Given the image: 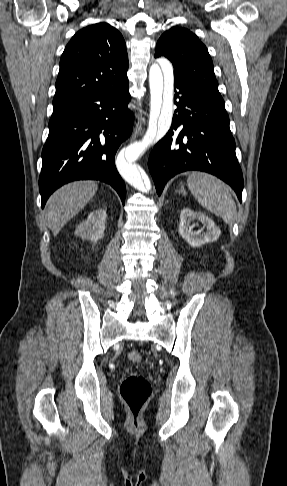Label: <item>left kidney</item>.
Returning <instances> with one entry per match:
<instances>
[{
	"instance_id": "left-kidney-1",
	"label": "left kidney",
	"mask_w": 287,
	"mask_h": 486,
	"mask_svg": "<svg viewBox=\"0 0 287 486\" xmlns=\"http://www.w3.org/2000/svg\"><path fill=\"white\" fill-rule=\"evenodd\" d=\"M195 220H199L203 224L206 232H202V230L193 231L190 224ZM179 233L192 247H200L206 243L217 241L221 235L219 227L212 219L189 208L183 209L180 213Z\"/></svg>"
}]
</instances>
